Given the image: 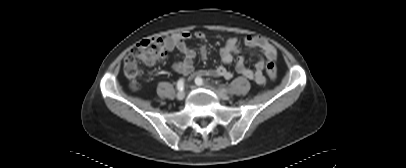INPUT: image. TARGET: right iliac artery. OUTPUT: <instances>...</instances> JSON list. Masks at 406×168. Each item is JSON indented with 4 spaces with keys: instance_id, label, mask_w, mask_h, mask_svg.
Masks as SVG:
<instances>
[{
    "instance_id": "1",
    "label": "right iliac artery",
    "mask_w": 406,
    "mask_h": 168,
    "mask_svg": "<svg viewBox=\"0 0 406 168\" xmlns=\"http://www.w3.org/2000/svg\"><path fill=\"white\" fill-rule=\"evenodd\" d=\"M177 89H178L179 91H183V90H184V79H183V78H181V79L178 80V82H177Z\"/></svg>"
}]
</instances>
